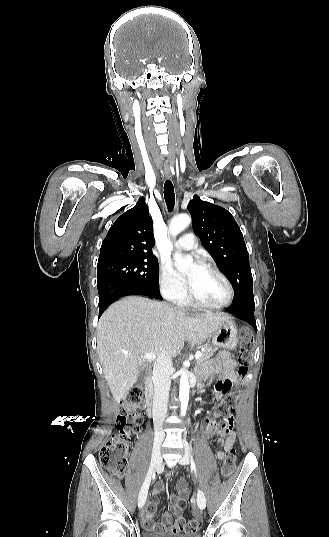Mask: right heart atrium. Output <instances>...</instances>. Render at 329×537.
I'll use <instances>...</instances> for the list:
<instances>
[{"instance_id":"1","label":"right heart atrium","mask_w":329,"mask_h":537,"mask_svg":"<svg viewBox=\"0 0 329 537\" xmlns=\"http://www.w3.org/2000/svg\"><path fill=\"white\" fill-rule=\"evenodd\" d=\"M159 288L168 300L181 302L186 298L187 290L184 281L167 262H162L160 266Z\"/></svg>"}]
</instances>
